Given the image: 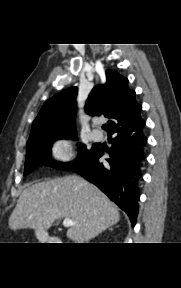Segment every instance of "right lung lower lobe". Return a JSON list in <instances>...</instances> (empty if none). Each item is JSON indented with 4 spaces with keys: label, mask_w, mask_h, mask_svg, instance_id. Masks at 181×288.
<instances>
[{
    "label": "right lung lower lobe",
    "mask_w": 181,
    "mask_h": 288,
    "mask_svg": "<svg viewBox=\"0 0 181 288\" xmlns=\"http://www.w3.org/2000/svg\"><path fill=\"white\" fill-rule=\"evenodd\" d=\"M145 125V122H144ZM115 132L109 136L112 147L106 163L99 161L103 155L96 147L92 154L73 169L81 176L98 186L126 214L135 226L138 215L141 164L145 159L144 145L147 138L142 128Z\"/></svg>",
    "instance_id": "right-lung-lower-lobe-1"
}]
</instances>
